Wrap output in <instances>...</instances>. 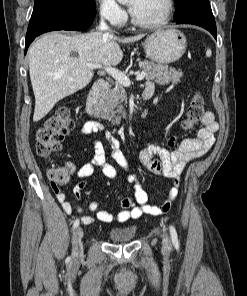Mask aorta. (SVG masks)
I'll return each mask as SVG.
<instances>
[{
  "mask_svg": "<svg viewBox=\"0 0 247 296\" xmlns=\"http://www.w3.org/2000/svg\"><path fill=\"white\" fill-rule=\"evenodd\" d=\"M119 3H125L128 2V0H118Z\"/></svg>",
  "mask_w": 247,
  "mask_h": 296,
  "instance_id": "aorta-1",
  "label": "aorta"
}]
</instances>
